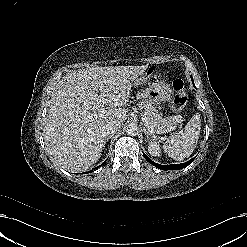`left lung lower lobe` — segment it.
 <instances>
[{"mask_svg":"<svg viewBox=\"0 0 247 247\" xmlns=\"http://www.w3.org/2000/svg\"><path fill=\"white\" fill-rule=\"evenodd\" d=\"M192 79V82H193V78L191 77ZM193 85H194V82H193ZM143 156L144 158L149 162L151 163L152 165H154L155 167L159 168V169H162V170H179V169H182V168H185L187 167L189 164H191L194 160L191 159L185 163H182V164H173V165H160V164H157L155 162H153L151 159H149L145 153H143Z\"/></svg>","mask_w":247,"mask_h":247,"instance_id":"1","label":"left lung lower lobe"}]
</instances>
